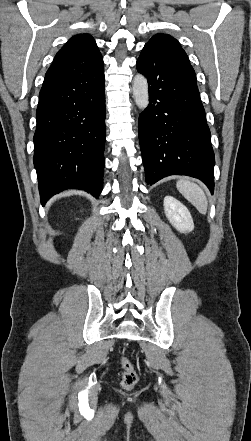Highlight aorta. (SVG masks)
I'll return each instance as SVG.
<instances>
[{"label": "aorta", "instance_id": "obj_1", "mask_svg": "<svg viewBox=\"0 0 251 441\" xmlns=\"http://www.w3.org/2000/svg\"><path fill=\"white\" fill-rule=\"evenodd\" d=\"M133 97L138 108L144 110L148 107V82L142 74H137L133 79Z\"/></svg>", "mask_w": 251, "mask_h": 441}]
</instances>
